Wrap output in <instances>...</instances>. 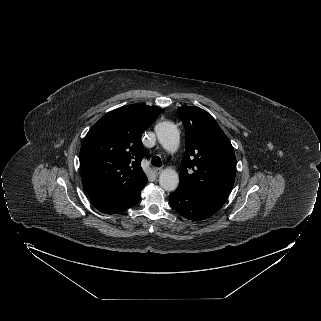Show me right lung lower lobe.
<instances>
[{"label":"right lung lower lobe","instance_id":"obj_1","mask_svg":"<svg viewBox=\"0 0 321 321\" xmlns=\"http://www.w3.org/2000/svg\"><path fill=\"white\" fill-rule=\"evenodd\" d=\"M138 203V202H137ZM137 203H135L134 205H136ZM133 205V206H134ZM132 207V206H131ZM130 208V207H129ZM126 209H128V208H126ZM126 209H123V210H110V211H101V212H103V213H106V214H118V213H121V212H123L124 210H126Z\"/></svg>","mask_w":321,"mask_h":321}]
</instances>
